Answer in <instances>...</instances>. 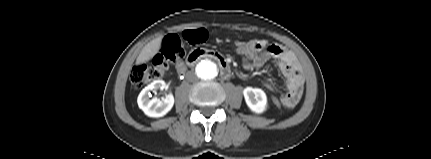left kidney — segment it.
<instances>
[{"label": "left kidney", "mask_w": 431, "mask_h": 159, "mask_svg": "<svg viewBox=\"0 0 431 159\" xmlns=\"http://www.w3.org/2000/svg\"><path fill=\"white\" fill-rule=\"evenodd\" d=\"M243 95L252 112L260 114L267 109V96L262 89L246 87L243 90Z\"/></svg>", "instance_id": "left-kidney-1"}]
</instances>
